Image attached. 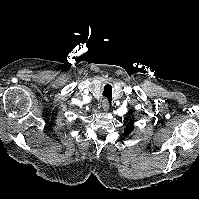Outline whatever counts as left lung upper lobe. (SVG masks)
I'll use <instances>...</instances> for the list:
<instances>
[{
	"instance_id": "obj_1",
	"label": "left lung upper lobe",
	"mask_w": 199,
	"mask_h": 199,
	"mask_svg": "<svg viewBox=\"0 0 199 199\" xmlns=\"http://www.w3.org/2000/svg\"><path fill=\"white\" fill-rule=\"evenodd\" d=\"M130 114H132V112L130 111ZM133 121H130L127 125H126V128H125V135L128 136L132 130H133Z\"/></svg>"
}]
</instances>
